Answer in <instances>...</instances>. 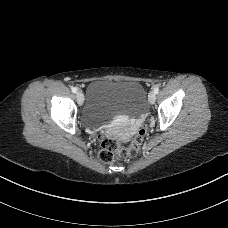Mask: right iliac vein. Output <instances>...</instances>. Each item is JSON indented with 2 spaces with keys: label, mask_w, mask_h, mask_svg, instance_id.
I'll list each match as a JSON object with an SVG mask.
<instances>
[{
  "label": "right iliac vein",
  "mask_w": 228,
  "mask_h": 228,
  "mask_svg": "<svg viewBox=\"0 0 228 228\" xmlns=\"http://www.w3.org/2000/svg\"><path fill=\"white\" fill-rule=\"evenodd\" d=\"M77 101L79 105H82L84 102V95L81 91H77L76 93Z\"/></svg>",
  "instance_id": "obj_1"
}]
</instances>
